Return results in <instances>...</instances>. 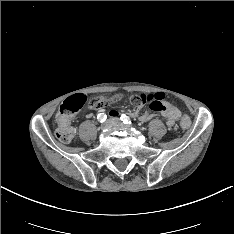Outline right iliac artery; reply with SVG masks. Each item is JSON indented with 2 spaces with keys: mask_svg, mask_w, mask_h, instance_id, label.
<instances>
[{
  "mask_svg": "<svg viewBox=\"0 0 234 234\" xmlns=\"http://www.w3.org/2000/svg\"><path fill=\"white\" fill-rule=\"evenodd\" d=\"M106 118H107V116H106L105 113H100L97 116V119H98L99 122H104L106 120Z\"/></svg>",
  "mask_w": 234,
  "mask_h": 234,
  "instance_id": "82829eb1",
  "label": "right iliac artery"
}]
</instances>
